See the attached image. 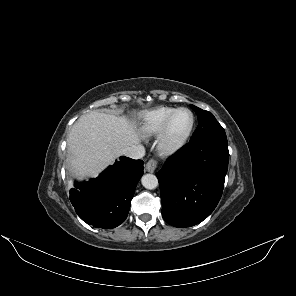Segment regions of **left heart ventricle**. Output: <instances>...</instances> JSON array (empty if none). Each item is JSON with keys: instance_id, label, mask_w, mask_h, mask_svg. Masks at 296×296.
I'll return each mask as SVG.
<instances>
[{"instance_id": "b2bd125f", "label": "left heart ventricle", "mask_w": 296, "mask_h": 296, "mask_svg": "<svg viewBox=\"0 0 296 296\" xmlns=\"http://www.w3.org/2000/svg\"><path fill=\"white\" fill-rule=\"evenodd\" d=\"M191 123V116L188 112L182 111L175 117L171 127V138L177 139L183 135L189 128Z\"/></svg>"}]
</instances>
